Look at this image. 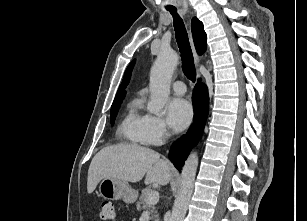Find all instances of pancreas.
I'll return each mask as SVG.
<instances>
[{
	"mask_svg": "<svg viewBox=\"0 0 307 221\" xmlns=\"http://www.w3.org/2000/svg\"><path fill=\"white\" fill-rule=\"evenodd\" d=\"M152 192L150 189H144L142 190L141 196L139 197V200L137 201V210H141L142 208H148L151 219L154 221H159V215L157 214V210L154 205H150L147 203L148 195Z\"/></svg>",
	"mask_w": 307,
	"mask_h": 221,
	"instance_id": "pancreas-1",
	"label": "pancreas"
}]
</instances>
